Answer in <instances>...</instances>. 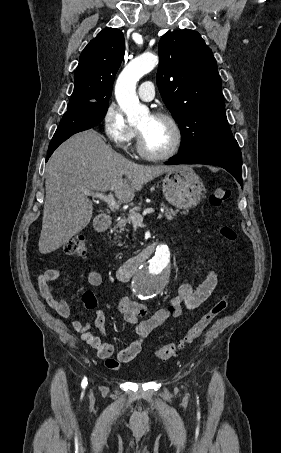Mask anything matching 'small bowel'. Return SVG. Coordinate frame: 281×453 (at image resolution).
<instances>
[{
	"instance_id": "small-bowel-1",
	"label": "small bowel",
	"mask_w": 281,
	"mask_h": 453,
	"mask_svg": "<svg viewBox=\"0 0 281 453\" xmlns=\"http://www.w3.org/2000/svg\"><path fill=\"white\" fill-rule=\"evenodd\" d=\"M209 266L212 267L213 265L210 264ZM60 277L61 271L58 268L46 269L38 276V286L42 298L59 315L68 317L70 315L68 303L54 296L52 282ZM87 280L93 286L102 284L101 274L97 271H90L87 274ZM217 284L218 277L216 273L208 269L204 272L202 283L197 289H193L190 285H181L169 308L162 309L146 319H140V317H144L147 314L142 304L129 297H122L118 302V309L125 321L134 326L135 338L127 347L117 353H114V348L111 344L103 342L102 337L106 335V318L102 310L95 311L93 324H82L78 320H74L72 325L80 334L81 341L94 348L97 351L98 358L106 361L110 370H117L121 363L130 362L137 356L152 329L161 326L170 317H178L182 308L195 309L199 307L217 287ZM72 295H74V292H72ZM91 329L97 330L101 336L92 334Z\"/></svg>"
}]
</instances>
